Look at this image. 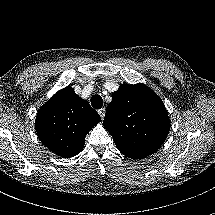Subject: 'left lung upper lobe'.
Returning <instances> with one entry per match:
<instances>
[{"mask_svg":"<svg viewBox=\"0 0 215 215\" xmlns=\"http://www.w3.org/2000/svg\"><path fill=\"white\" fill-rule=\"evenodd\" d=\"M103 126L120 152L140 159L166 139L170 120L160 97L144 84L120 85L106 109Z\"/></svg>","mask_w":215,"mask_h":215,"instance_id":"1","label":"left lung upper lobe"}]
</instances>
